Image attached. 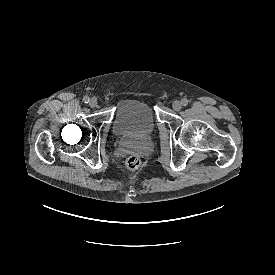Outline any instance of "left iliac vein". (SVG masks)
<instances>
[{
	"instance_id": "left-iliac-vein-1",
	"label": "left iliac vein",
	"mask_w": 275,
	"mask_h": 275,
	"mask_svg": "<svg viewBox=\"0 0 275 275\" xmlns=\"http://www.w3.org/2000/svg\"><path fill=\"white\" fill-rule=\"evenodd\" d=\"M172 107L175 111H180L182 108V104L179 101H174Z\"/></svg>"
}]
</instances>
